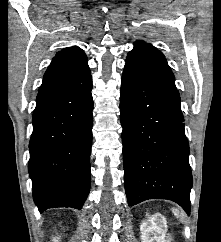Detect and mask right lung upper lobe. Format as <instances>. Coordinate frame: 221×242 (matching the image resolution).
Returning a JSON list of instances; mask_svg holds the SVG:
<instances>
[{
  "label": "right lung upper lobe",
  "instance_id": "right-lung-upper-lobe-1",
  "mask_svg": "<svg viewBox=\"0 0 221 242\" xmlns=\"http://www.w3.org/2000/svg\"><path fill=\"white\" fill-rule=\"evenodd\" d=\"M88 70L87 57L81 48H64L47 68L39 90L68 82Z\"/></svg>",
  "mask_w": 221,
  "mask_h": 242
}]
</instances>
